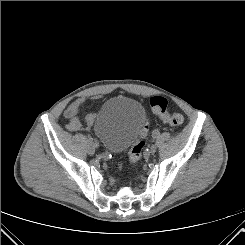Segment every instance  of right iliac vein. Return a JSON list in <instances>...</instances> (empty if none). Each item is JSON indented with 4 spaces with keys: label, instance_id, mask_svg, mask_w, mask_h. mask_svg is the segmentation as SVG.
I'll return each instance as SVG.
<instances>
[{
    "label": "right iliac vein",
    "instance_id": "right-iliac-vein-1",
    "mask_svg": "<svg viewBox=\"0 0 245 245\" xmlns=\"http://www.w3.org/2000/svg\"><path fill=\"white\" fill-rule=\"evenodd\" d=\"M94 152H95L94 143L88 140V153L92 155L94 154Z\"/></svg>",
    "mask_w": 245,
    "mask_h": 245
}]
</instances>
